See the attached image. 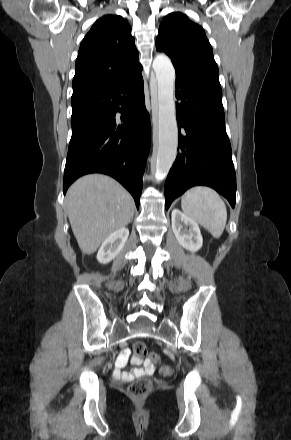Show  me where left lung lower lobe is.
<instances>
[{
  "label": "left lung lower lobe",
  "instance_id": "obj_1",
  "mask_svg": "<svg viewBox=\"0 0 291 440\" xmlns=\"http://www.w3.org/2000/svg\"><path fill=\"white\" fill-rule=\"evenodd\" d=\"M178 155L165 183L166 210L196 185L214 188L235 206L236 175L225 129L222 91L176 77Z\"/></svg>",
  "mask_w": 291,
  "mask_h": 440
}]
</instances>
